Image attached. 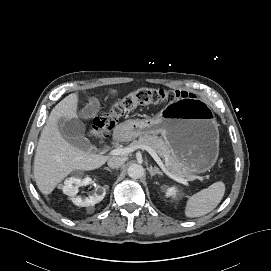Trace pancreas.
Wrapping results in <instances>:
<instances>
[{"instance_id":"1","label":"pancreas","mask_w":271,"mask_h":271,"mask_svg":"<svg viewBox=\"0 0 271 271\" xmlns=\"http://www.w3.org/2000/svg\"><path fill=\"white\" fill-rule=\"evenodd\" d=\"M149 146L166 162V168L174 175L182 177H192L185 167L175 156L168 143L155 135H142L138 140L131 143V147Z\"/></svg>"}]
</instances>
